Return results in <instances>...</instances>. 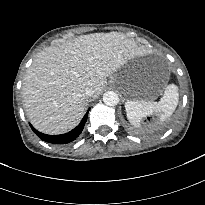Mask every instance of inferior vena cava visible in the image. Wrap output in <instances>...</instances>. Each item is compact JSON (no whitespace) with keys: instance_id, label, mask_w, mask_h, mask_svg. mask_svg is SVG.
<instances>
[{"instance_id":"1","label":"inferior vena cava","mask_w":205,"mask_h":205,"mask_svg":"<svg viewBox=\"0 0 205 205\" xmlns=\"http://www.w3.org/2000/svg\"><path fill=\"white\" fill-rule=\"evenodd\" d=\"M84 92L87 96L93 95V89L91 87H86Z\"/></svg>"}]
</instances>
